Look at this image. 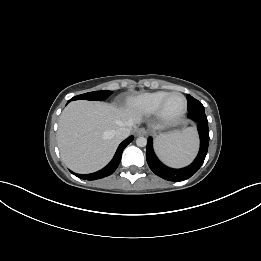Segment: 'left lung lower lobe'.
Returning <instances> with one entry per match:
<instances>
[{"mask_svg":"<svg viewBox=\"0 0 261 261\" xmlns=\"http://www.w3.org/2000/svg\"><path fill=\"white\" fill-rule=\"evenodd\" d=\"M188 118L194 120L198 125L200 136V149L196 159L187 167L181 169H173L165 166L157 158L153 151L152 138H148L146 148V160L150 169L158 176L169 181H183L195 174L204 162L209 145V129L208 120L204 111H190Z\"/></svg>","mask_w":261,"mask_h":261,"instance_id":"0a47b994","label":"left lung lower lobe"}]
</instances>
